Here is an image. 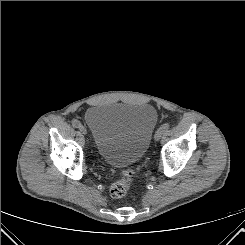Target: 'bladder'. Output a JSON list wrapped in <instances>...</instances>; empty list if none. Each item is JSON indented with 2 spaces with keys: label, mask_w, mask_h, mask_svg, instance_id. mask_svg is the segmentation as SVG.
<instances>
[{
  "label": "bladder",
  "mask_w": 245,
  "mask_h": 245,
  "mask_svg": "<svg viewBox=\"0 0 245 245\" xmlns=\"http://www.w3.org/2000/svg\"><path fill=\"white\" fill-rule=\"evenodd\" d=\"M158 120L144 103H106L90 107L85 122L98 156L108 165L125 167L145 154Z\"/></svg>",
  "instance_id": "1"
}]
</instances>
